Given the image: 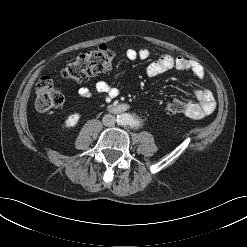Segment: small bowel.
I'll return each mask as SVG.
<instances>
[{
  "label": "small bowel",
  "mask_w": 247,
  "mask_h": 247,
  "mask_svg": "<svg viewBox=\"0 0 247 247\" xmlns=\"http://www.w3.org/2000/svg\"><path fill=\"white\" fill-rule=\"evenodd\" d=\"M152 55L153 51L150 49H129L126 52V57L131 61L146 60ZM171 69L189 71L199 81H203L205 78V71L201 64L184 57H175L168 53L158 54L157 59L147 66L146 74L150 77H154ZM95 91L97 93L104 94L109 98H115L119 94L117 88L104 81H99L96 83ZM194 93L197 98V102L189 103V110L185 113L187 117L192 119H200L214 111L216 104L213 93L210 90L196 88ZM78 94L83 99H90L93 96L92 90L85 87L80 88Z\"/></svg>",
  "instance_id": "obj_1"
}]
</instances>
